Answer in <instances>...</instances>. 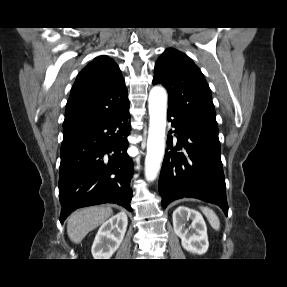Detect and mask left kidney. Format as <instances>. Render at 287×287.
I'll return each mask as SVG.
<instances>
[{
	"mask_svg": "<svg viewBox=\"0 0 287 287\" xmlns=\"http://www.w3.org/2000/svg\"><path fill=\"white\" fill-rule=\"evenodd\" d=\"M192 220L190 228L185 229V221ZM174 232L181 238L183 248L191 253L202 255L209 247L207 227L202 215L193 209L180 206L173 212Z\"/></svg>",
	"mask_w": 287,
	"mask_h": 287,
	"instance_id": "1",
	"label": "left kidney"
}]
</instances>
